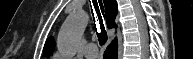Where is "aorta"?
I'll list each match as a JSON object with an SVG mask.
<instances>
[{"label":"aorta","mask_w":193,"mask_h":59,"mask_svg":"<svg viewBox=\"0 0 193 59\" xmlns=\"http://www.w3.org/2000/svg\"><path fill=\"white\" fill-rule=\"evenodd\" d=\"M88 24V15L77 10L67 17L58 35V48L65 57L71 58L76 53L77 42Z\"/></svg>","instance_id":"aorta-1"}]
</instances>
